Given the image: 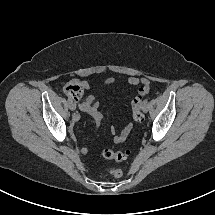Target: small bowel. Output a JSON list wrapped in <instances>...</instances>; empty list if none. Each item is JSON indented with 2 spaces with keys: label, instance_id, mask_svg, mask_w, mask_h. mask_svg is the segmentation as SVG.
<instances>
[{
  "label": "small bowel",
  "instance_id": "c3829d8e",
  "mask_svg": "<svg viewBox=\"0 0 215 215\" xmlns=\"http://www.w3.org/2000/svg\"><path fill=\"white\" fill-rule=\"evenodd\" d=\"M115 79L110 77L105 79L104 84L105 85H111L112 83H114ZM128 83L132 86H137L139 84H141L142 86H145L147 88H149L150 85V81L149 79L142 77V78H138V77H130L128 79ZM83 85V90H88L89 89V84L84 81L82 82ZM78 107L82 112H85L87 114H89L94 122H95V127L93 131H96L100 121L102 120V112H101V108H100V104L99 102H97L94 98V96L89 95L87 97L84 98H78ZM80 119V116L78 114L73 116V121L77 122ZM132 129V125L131 124H127L122 131L119 134H116L114 136V141L116 143H120L122 141H124L126 139V137L128 136V134L130 133ZM82 152H86V149L83 148Z\"/></svg>",
  "mask_w": 215,
  "mask_h": 215
}]
</instances>
